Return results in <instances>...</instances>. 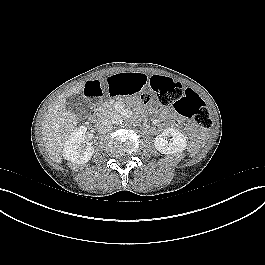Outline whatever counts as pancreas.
I'll use <instances>...</instances> for the list:
<instances>
[{
	"label": "pancreas",
	"instance_id": "obj_1",
	"mask_svg": "<svg viewBox=\"0 0 265 265\" xmlns=\"http://www.w3.org/2000/svg\"><path fill=\"white\" fill-rule=\"evenodd\" d=\"M113 111V105L110 102L103 103L96 112L99 116H109Z\"/></svg>",
	"mask_w": 265,
	"mask_h": 265
}]
</instances>
